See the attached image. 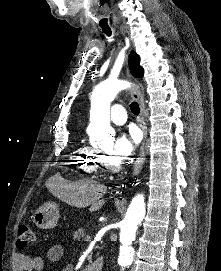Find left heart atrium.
I'll return each instance as SVG.
<instances>
[{"mask_svg": "<svg viewBox=\"0 0 221 271\" xmlns=\"http://www.w3.org/2000/svg\"><path fill=\"white\" fill-rule=\"evenodd\" d=\"M141 132L131 129L121 134L120 142H112V157H132L137 145L141 141Z\"/></svg>", "mask_w": 221, "mask_h": 271, "instance_id": "left-heart-atrium-1", "label": "left heart atrium"}]
</instances>
